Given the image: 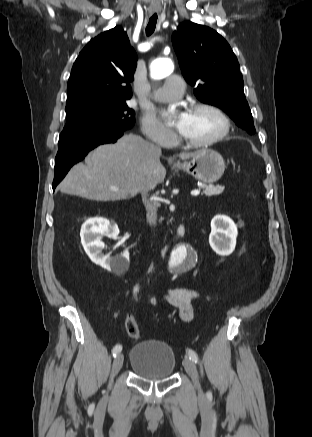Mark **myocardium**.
Here are the masks:
<instances>
[{
  "label": "myocardium",
  "instance_id": "f54148a6",
  "mask_svg": "<svg viewBox=\"0 0 312 437\" xmlns=\"http://www.w3.org/2000/svg\"><path fill=\"white\" fill-rule=\"evenodd\" d=\"M198 111H208L217 115L222 122L221 130L214 136L201 141L188 140L184 138L182 135H180L179 142L181 144L191 147H205L221 141L229 134L231 130V119L223 109H221L217 105L210 104V103H197L190 107V112H198Z\"/></svg>",
  "mask_w": 312,
  "mask_h": 437
}]
</instances>
